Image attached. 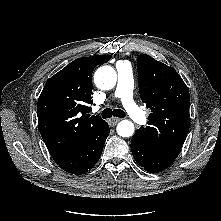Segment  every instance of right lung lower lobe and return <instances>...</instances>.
<instances>
[{"mask_svg":"<svg viewBox=\"0 0 221 221\" xmlns=\"http://www.w3.org/2000/svg\"><path fill=\"white\" fill-rule=\"evenodd\" d=\"M109 130L105 122L87 135L80 144L55 159V162L66 172L76 175L86 173L98 162Z\"/></svg>","mask_w":221,"mask_h":221,"instance_id":"right-lung-lower-lobe-1","label":"right lung lower lobe"}]
</instances>
